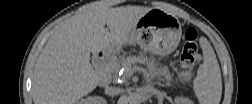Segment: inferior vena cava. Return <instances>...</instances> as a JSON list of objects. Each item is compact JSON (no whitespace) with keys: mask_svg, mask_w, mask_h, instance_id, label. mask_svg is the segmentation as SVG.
<instances>
[{"mask_svg":"<svg viewBox=\"0 0 252 104\" xmlns=\"http://www.w3.org/2000/svg\"><path fill=\"white\" fill-rule=\"evenodd\" d=\"M121 92L120 88L117 87H112V86H107L105 88V94L108 96H116Z\"/></svg>","mask_w":252,"mask_h":104,"instance_id":"inferior-vena-cava-1","label":"inferior vena cava"}]
</instances>
